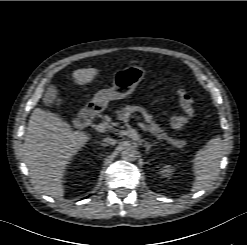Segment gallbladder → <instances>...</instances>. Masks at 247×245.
Segmentation results:
<instances>
[{
  "mask_svg": "<svg viewBox=\"0 0 247 245\" xmlns=\"http://www.w3.org/2000/svg\"><path fill=\"white\" fill-rule=\"evenodd\" d=\"M56 99V90L53 87H49L43 96V103L47 107H52Z\"/></svg>",
  "mask_w": 247,
  "mask_h": 245,
  "instance_id": "gallbladder-1",
  "label": "gallbladder"
}]
</instances>
